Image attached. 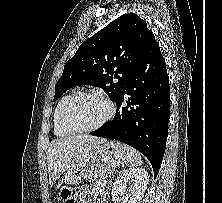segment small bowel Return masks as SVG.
Returning <instances> with one entry per match:
<instances>
[{
	"mask_svg": "<svg viewBox=\"0 0 222 203\" xmlns=\"http://www.w3.org/2000/svg\"><path fill=\"white\" fill-rule=\"evenodd\" d=\"M98 196H99L98 192H95L92 188L82 187L76 190L73 197L75 203H79L80 200L82 199L92 198V197L95 199L96 203H103V201L99 200Z\"/></svg>",
	"mask_w": 222,
	"mask_h": 203,
	"instance_id": "c3829d8e",
	"label": "small bowel"
}]
</instances>
